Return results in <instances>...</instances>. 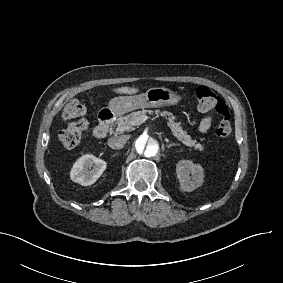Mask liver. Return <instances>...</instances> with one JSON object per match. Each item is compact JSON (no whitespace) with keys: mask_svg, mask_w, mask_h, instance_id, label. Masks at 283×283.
<instances>
[{"mask_svg":"<svg viewBox=\"0 0 283 283\" xmlns=\"http://www.w3.org/2000/svg\"><path fill=\"white\" fill-rule=\"evenodd\" d=\"M110 91L115 95H136L141 92V89L137 87L123 86L112 88Z\"/></svg>","mask_w":283,"mask_h":283,"instance_id":"liver-1","label":"liver"}]
</instances>
